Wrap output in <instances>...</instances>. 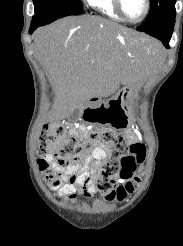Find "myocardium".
I'll list each match as a JSON object with an SVG mask.
<instances>
[{"mask_svg":"<svg viewBox=\"0 0 183 246\" xmlns=\"http://www.w3.org/2000/svg\"><path fill=\"white\" fill-rule=\"evenodd\" d=\"M144 4H145V9H144V13L142 14V16L137 20H132L126 15L124 11L123 0H114V5H115L117 12L121 15V17L125 21L132 23V24L140 23L147 17L150 11V0H144Z\"/></svg>","mask_w":183,"mask_h":246,"instance_id":"myocardium-1","label":"myocardium"}]
</instances>
